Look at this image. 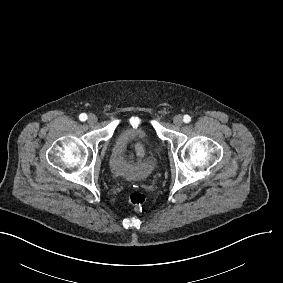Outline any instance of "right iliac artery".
<instances>
[{
  "label": "right iliac artery",
  "mask_w": 283,
  "mask_h": 283,
  "mask_svg": "<svg viewBox=\"0 0 283 283\" xmlns=\"http://www.w3.org/2000/svg\"><path fill=\"white\" fill-rule=\"evenodd\" d=\"M79 119L81 121H85L87 119V115L85 113L80 114Z\"/></svg>",
  "instance_id": "1"
}]
</instances>
